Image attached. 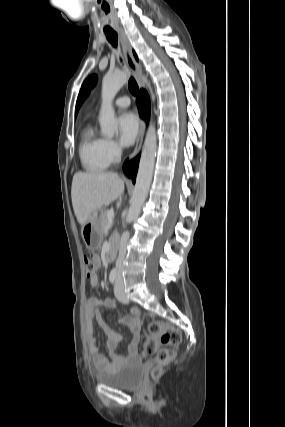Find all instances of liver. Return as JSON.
<instances>
[{
  "mask_svg": "<svg viewBox=\"0 0 285 427\" xmlns=\"http://www.w3.org/2000/svg\"><path fill=\"white\" fill-rule=\"evenodd\" d=\"M124 181L116 173L77 172L73 176L71 198L75 216L83 227L91 214L117 200Z\"/></svg>",
  "mask_w": 285,
  "mask_h": 427,
  "instance_id": "6515ba94",
  "label": "liver"
}]
</instances>
